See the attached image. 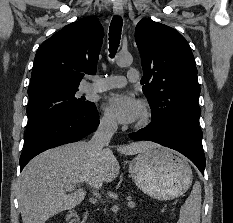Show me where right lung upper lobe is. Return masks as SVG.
<instances>
[{
	"instance_id": "right-lung-upper-lobe-1",
	"label": "right lung upper lobe",
	"mask_w": 233,
	"mask_h": 223,
	"mask_svg": "<svg viewBox=\"0 0 233 223\" xmlns=\"http://www.w3.org/2000/svg\"><path fill=\"white\" fill-rule=\"evenodd\" d=\"M104 31L96 17L65 26L38 48L28 94L49 88L79 87L85 74L94 75Z\"/></svg>"
}]
</instances>
